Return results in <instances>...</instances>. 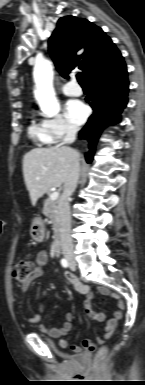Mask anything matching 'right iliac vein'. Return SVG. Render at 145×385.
I'll return each mask as SVG.
<instances>
[{
  "instance_id": "obj_1",
  "label": "right iliac vein",
  "mask_w": 145,
  "mask_h": 385,
  "mask_svg": "<svg viewBox=\"0 0 145 385\" xmlns=\"http://www.w3.org/2000/svg\"><path fill=\"white\" fill-rule=\"evenodd\" d=\"M69 261L71 262V264H74V261H73V259H71V258H70V259H69Z\"/></svg>"
}]
</instances>
